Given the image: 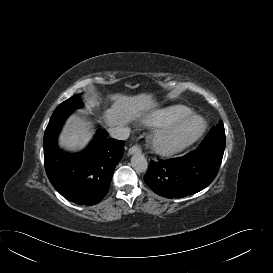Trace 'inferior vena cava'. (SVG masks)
<instances>
[{"label": "inferior vena cava", "instance_id": "obj_1", "mask_svg": "<svg viewBox=\"0 0 273 273\" xmlns=\"http://www.w3.org/2000/svg\"><path fill=\"white\" fill-rule=\"evenodd\" d=\"M108 132L112 138L118 140H126L130 134L129 128L120 126L109 128Z\"/></svg>", "mask_w": 273, "mask_h": 273}]
</instances>
